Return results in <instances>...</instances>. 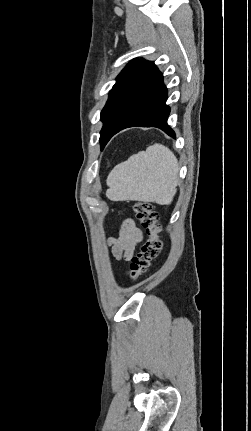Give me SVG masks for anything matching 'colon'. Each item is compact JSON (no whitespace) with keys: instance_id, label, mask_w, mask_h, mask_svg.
<instances>
[{"instance_id":"obj_1","label":"colon","mask_w":251,"mask_h":431,"mask_svg":"<svg viewBox=\"0 0 251 431\" xmlns=\"http://www.w3.org/2000/svg\"><path fill=\"white\" fill-rule=\"evenodd\" d=\"M133 211L148 236L131 260L130 278L135 283L146 273L151 262L159 255L162 241L159 214L154 210L152 204L147 201L136 202L133 205Z\"/></svg>"}]
</instances>
